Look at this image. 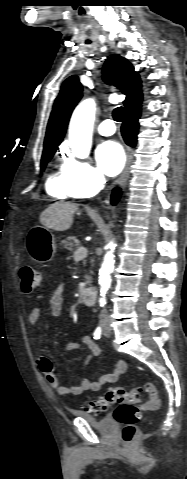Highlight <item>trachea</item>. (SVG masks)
Listing matches in <instances>:
<instances>
[{
    "instance_id": "obj_1",
    "label": "trachea",
    "mask_w": 187,
    "mask_h": 479,
    "mask_svg": "<svg viewBox=\"0 0 187 479\" xmlns=\"http://www.w3.org/2000/svg\"><path fill=\"white\" fill-rule=\"evenodd\" d=\"M86 43H90V41H87ZM124 116V108L123 107H117L113 110V118L117 122H121Z\"/></svg>"
}]
</instances>
